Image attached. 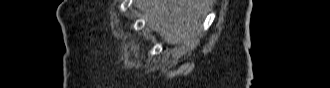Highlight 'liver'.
I'll list each match as a JSON object with an SVG mask.
<instances>
[{"label":"liver","mask_w":330,"mask_h":88,"mask_svg":"<svg viewBox=\"0 0 330 88\" xmlns=\"http://www.w3.org/2000/svg\"><path fill=\"white\" fill-rule=\"evenodd\" d=\"M212 0H142L138 7L147 23L168 44L188 43L201 32Z\"/></svg>","instance_id":"6515ba94"}]
</instances>
